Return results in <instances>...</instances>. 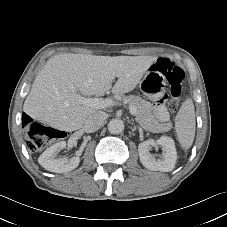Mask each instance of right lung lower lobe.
<instances>
[{"label":"right lung lower lobe","mask_w":227,"mask_h":227,"mask_svg":"<svg viewBox=\"0 0 227 227\" xmlns=\"http://www.w3.org/2000/svg\"><path fill=\"white\" fill-rule=\"evenodd\" d=\"M28 119H29V117L26 114H23V118H22L23 124H25L26 122H28Z\"/></svg>","instance_id":"right-lung-lower-lobe-1"}]
</instances>
